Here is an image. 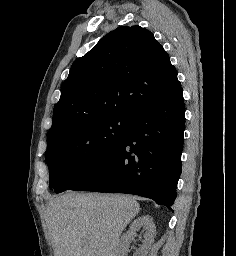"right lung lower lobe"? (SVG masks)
<instances>
[{
	"instance_id": "obj_1",
	"label": "right lung lower lobe",
	"mask_w": 236,
	"mask_h": 256,
	"mask_svg": "<svg viewBox=\"0 0 236 256\" xmlns=\"http://www.w3.org/2000/svg\"><path fill=\"white\" fill-rule=\"evenodd\" d=\"M184 128L180 85L144 107L120 145L68 189L140 195L172 211L182 170Z\"/></svg>"
}]
</instances>
